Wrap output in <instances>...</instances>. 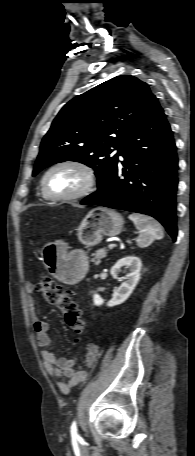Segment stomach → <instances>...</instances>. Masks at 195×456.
<instances>
[{"instance_id":"1","label":"stomach","mask_w":195,"mask_h":456,"mask_svg":"<svg viewBox=\"0 0 195 456\" xmlns=\"http://www.w3.org/2000/svg\"><path fill=\"white\" fill-rule=\"evenodd\" d=\"M124 219L116 211L97 207L87 213L77 227V237L86 247L99 244L103 236H116L123 230ZM48 271L58 280L74 284L86 274L89 261L85 251L68 249L61 241L48 243L42 250Z\"/></svg>"}]
</instances>
